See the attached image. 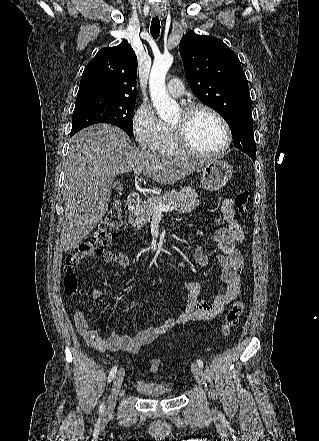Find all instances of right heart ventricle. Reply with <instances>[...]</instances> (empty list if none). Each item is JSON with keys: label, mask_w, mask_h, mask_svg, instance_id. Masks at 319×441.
Instances as JSON below:
<instances>
[{"label": "right heart ventricle", "mask_w": 319, "mask_h": 441, "mask_svg": "<svg viewBox=\"0 0 319 441\" xmlns=\"http://www.w3.org/2000/svg\"><path fill=\"white\" fill-rule=\"evenodd\" d=\"M156 152L162 155L182 156L184 155L176 146L171 129L168 124L163 123V138Z\"/></svg>", "instance_id": "obj_1"}]
</instances>
